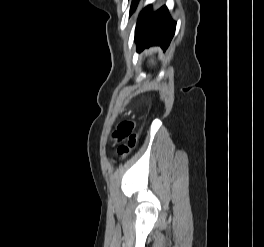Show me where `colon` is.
Returning a JSON list of instances; mask_svg holds the SVG:
<instances>
[{
  "label": "colon",
  "instance_id": "obj_1",
  "mask_svg": "<svg viewBox=\"0 0 264 247\" xmlns=\"http://www.w3.org/2000/svg\"><path fill=\"white\" fill-rule=\"evenodd\" d=\"M134 130L135 123L133 121H123L113 133V139L119 143L118 154L122 157L127 156L137 143V135ZM122 141H126V143L123 144Z\"/></svg>",
  "mask_w": 264,
  "mask_h": 247
}]
</instances>
